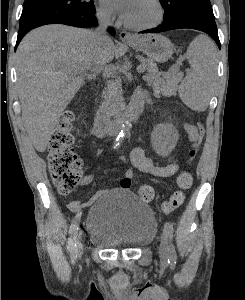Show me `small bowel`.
Segmentation results:
<instances>
[{"label":"small bowel","mask_w":245,"mask_h":300,"mask_svg":"<svg viewBox=\"0 0 245 300\" xmlns=\"http://www.w3.org/2000/svg\"><path fill=\"white\" fill-rule=\"evenodd\" d=\"M182 127L187 134L190 142H194L198 139V129L196 126L183 122ZM92 135L98 139H102L108 136V134L96 124L92 129ZM121 159L128 161L132 166V169L126 171L120 180V188L126 190L131 186L134 170L161 178L172 177L179 170V167L176 163H170L164 166L155 165L152 159L146 156L145 151L141 147L133 148L128 157L121 156ZM92 179L93 175H88L83 179L82 182L83 184H87ZM101 194V191L97 192L85 203H82L78 200H70L67 203V207L72 212H80L84 207L92 204Z\"/></svg>","instance_id":"small-bowel-1"}]
</instances>
